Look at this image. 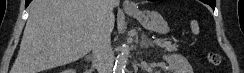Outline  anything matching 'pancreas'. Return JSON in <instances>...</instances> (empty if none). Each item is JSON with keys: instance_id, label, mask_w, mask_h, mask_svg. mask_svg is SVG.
Here are the masks:
<instances>
[{"instance_id": "1", "label": "pancreas", "mask_w": 244, "mask_h": 73, "mask_svg": "<svg viewBox=\"0 0 244 73\" xmlns=\"http://www.w3.org/2000/svg\"><path fill=\"white\" fill-rule=\"evenodd\" d=\"M158 45L169 52H174L178 50V45L169 41H161L160 43H158Z\"/></svg>"}]
</instances>
